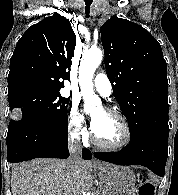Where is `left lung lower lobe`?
I'll return each instance as SVG.
<instances>
[{"mask_svg": "<svg viewBox=\"0 0 178 195\" xmlns=\"http://www.w3.org/2000/svg\"><path fill=\"white\" fill-rule=\"evenodd\" d=\"M169 129L147 131L132 138L119 152H96L98 159L118 165L138 164L164 176L168 157Z\"/></svg>", "mask_w": 178, "mask_h": 195, "instance_id": "obj_1", "label": "left lung lower lobe"}]
</instances>
